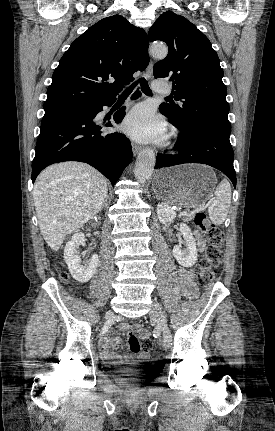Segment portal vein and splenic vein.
<instances>
[{
	"label": "portal vein and splenic vein",
	"mask_w": 275,
	"mask_h": 431,
	"mask_svg": "<svg viewBox=\"0 0 275 431\" xmlns=\"http://www.w3.org/2000/svg\"><path fill=\"white\" fill-rule=\"evenodd\" d=\"M180 215H181V216H185V215H187V211H186V210H184V211H180Z\"/></svg>",
	"instance_id": "portal-vein-and-splenic-vein-1"
}]
</instances>
